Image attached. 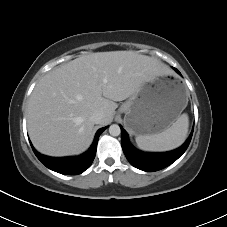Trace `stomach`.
<instances>
[{"label": "stomach", "instance_id": "1", "mask_svg": "<svg viewBox=\"0 0 227 227\" xmlns=\"http://www.w3.org/2000/svg\"><path fill=\"white\" fill-rule=\"evenodd\" d=\"M182 85L169 78H154L142 84L119 109L124 125L135 136L163 132L178 119L187 105Z\"/></svg>", "mask_w": 227, "mask_h": 227}]
</instances>
